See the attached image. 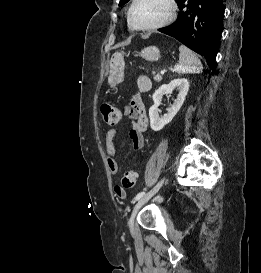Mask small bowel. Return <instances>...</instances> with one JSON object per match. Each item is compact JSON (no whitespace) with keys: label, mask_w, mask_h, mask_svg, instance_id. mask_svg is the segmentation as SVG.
Here are the masks:
<instances>
[{"label":"small bowel","mask_w":261,"mask_h":273,"mask_svg":"<svg viewBox=\"0 0 261 273\" xmlns=\"http://www.w3.org/2000/svg\"><path fill=\"white\" fill-rule=\"evenodd\" d=\"M135 84L139 89V93H136L129 105L124 108V115L131 121L132 128L130 130V138L132 141V148L135 151L141 150L144 147V132L148 128V117L146 114V107L143 102L142 93H145L151 88V81L147 76H139L135 80ZM117 134L116 128H111L106 133L105 137V153L107 158V165L111 174L116 175L118 173V163L115 156L114 139ZM115 195L124 199L126 192L121 194L117 192V186L114 187Z\"/></svg>","instance_id":"1"}]
</instances>
